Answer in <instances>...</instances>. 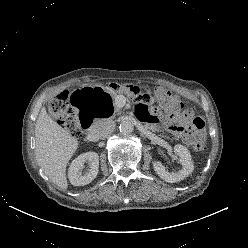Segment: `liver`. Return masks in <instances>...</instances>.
Listing matches in <instances>:
<instances>
[{"instance_id": "liver-1", "label": "liver", "mask_w": 248, "mask_h": 248, "mask_svg": "<svg viewBox=\"0 0 248 248\" xmlns=\"http://www.w3.org/2000/svg\"><path fill=\"white\" fill-rule=\"evenodd\" d=\"M78 144L77 138L41 109L35 124L36 160L46 176L62 189L68 187L66 167Z\"/></svg>"}]
</instances>
